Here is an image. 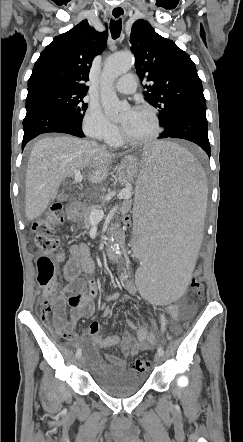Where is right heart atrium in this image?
<instances>
[{
	"label": "right heart atrium",
	"instance_id": "right-heart-atrium-1",
	"mask_svg": "<svg viewBox=\"0 0 243 442\" xmlns=\"http://www.w3.org/2000/svg\"><path fill=\"white\" fill-rule=\"evenodd\" d=\"M84 133L93 139L113 142L117 139L119 131L106 116L101 107L89 105L82 121Z\"/></svg>",
	"mask_w": 243,
	"mask_h": 442
}]
</instances>
